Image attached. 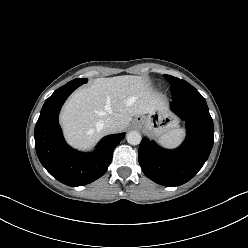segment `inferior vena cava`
Segmentation results:
<instances>
[{
  "mask_svg": "<svg viewBox=\"0 0 248 248\" xmlns=\"http://www.w3.org/2000/svg\"><path fill=\"white\" fill-rule=\"evenodd\" d=\"M98 126H102L104 131L108 134L117 132L119 127V122L114 117H108L102 123H98Z\"/></svg>",
  "mask_w": 248,
  "mask_h": 248,
  "instance_id": "obj_1",
  "label": "inferior vena cava"
}]
</instances>
